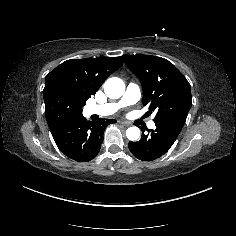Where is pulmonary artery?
Masks as SVG:
<instances>
[{"instance_id":"1","label":"pulmonary artery","mask_w":236,"mask_h":236,"mask_svg":"<svg viewBox=\"0 0 236 236\" xmlns=\"http://www.w3.org/2000/svg\"><path fill=\"white\" fill-rule=\"evenodd\" d=\"M141 97V91L135 84L130 83L125 94L117 103L106 104H87L85 112L88 115L110 116L116 113L120 108L136 103ZM154 122L149 121L148 127L154 128Z\"/></svg>"}]
</instances>
